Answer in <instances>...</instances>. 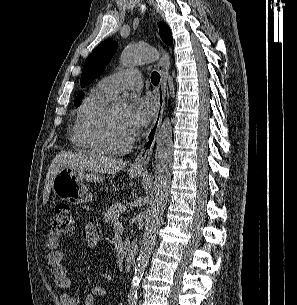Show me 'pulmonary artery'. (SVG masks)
Masks as SVG:
<instances>
[{"label": "pulmonary artery", "mask_w": 297, "mask_h": 305, "mask_svg": "<svg viewBox=\"0 0 297 305\" xmlns=\"http://www.w3.org/2000/svg\"><path fill=\"white\" fill-rule=\"evenodd\" d=\"M142 85V75L136 69H125L115 72L98 83V86L111 96L123 90H138Z\"/></svg>", "instance_id": "pulmonary-artery-1"}]
</instances>
